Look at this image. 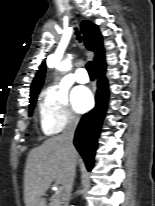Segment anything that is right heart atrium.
Segmentation results:
<instances>
[{"label":"right heart atrium","instance_id":"obj_1","mask_svg":"<svg viewBox=\"0 0 155 206\" xmlns=\"http://www.w3.org/2000/svg\"><path fill=\"white\" fill-rule=\"evenodd\" d=\"M39 119L41 129L46 135L56 134L65 128H74L78 123L66 92L58 86H49L43 91Z\"/></svg>","mask_w":155,"mask_h":206}]
</instances>
